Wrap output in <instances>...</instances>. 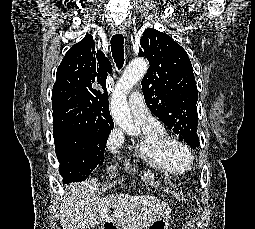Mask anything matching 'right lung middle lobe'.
Masks as SVG:
<instances>
[{
	"label": "right lung middle lobe",
	"mask_w": 255,
	"mask_h": 229,
	"mask_svg": "<svg viewBox=\"0 0 255 229\" xmlns=\"http://www.w3.org/2000/svg\"><path fill=\"white\" fill-rule=\"evenodd\" d=\"M109 132L99 130H53L59 172L64 182L85 179L104 162Z\"/></svg>",
	"instance_id": "dd1d6c3e"
}]
</instances>
